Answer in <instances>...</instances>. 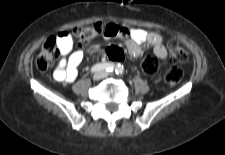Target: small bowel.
<instances>
[{"mask_svg":"<svg viewBox=\"0 0 225 155\" xmlns=\"http://www.w3.org/2000/svg\"><path fill=\"white\" fill-rule=\"evenodd\" d=\"M112 31L104 34L106 38H125L128 53L132 57H140L142 45L148 44L153 48L154 55L165 66L168 54L163 37L153 31L141 28H126L115 24H108ZM56 44L60 51V61L54 69L53 76L59 82H73L78 75L77 67L82 61L83 52L73 49V40L67 31H60L56 35Z\"/></svg>","mask_w":225,"mask_h":155,"instance_id":"1","label":"small bowel"}]
</instances>
